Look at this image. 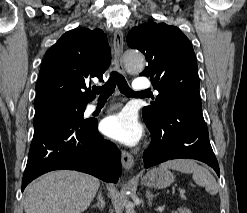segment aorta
<instances>
[{
    "mask_svg": "<svg viewBox=\"0 0 247 213\" xmlns=\"http://www.w3.org/2000/svg\"><path fill=\"white\" fill-rule=\"evenodd\" d=\"M124 63L129 73H140L145 66V58L143 54L136 50H127L124 53ZM126 213H135L130 203L126 206Z\"/></svg>",
    "mask_w": 247,
    "mask_h": 213,
    "instance_id": "aorta-1",
    "label": "aorta"
}]
</instances>
